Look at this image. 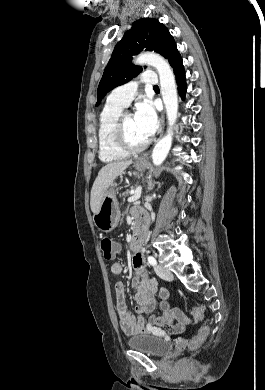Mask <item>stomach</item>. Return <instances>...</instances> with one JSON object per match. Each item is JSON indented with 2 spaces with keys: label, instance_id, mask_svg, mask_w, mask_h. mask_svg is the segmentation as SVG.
<instances>
[{
  "label": "stomach",
  "instance_id": "0dacf381",
  "mask_svg": "<svg viewBox=\"0 0 265 390\" xmlns=\"http://www.w3.org/2000/svg\"><path fill=\"white\" fill-rule=\"evenodd\" d=\"M147 166V162L141 159L137 160L135 163V168L138 171L145 170ZM116 186V183H112L106 190L99 211L93 216L95 226L102 232H111L117 227L120 220V209L116 198Z\"/></svg>",
  "mask_w": 265,
  "mask_h": 390
}]
</instances>
